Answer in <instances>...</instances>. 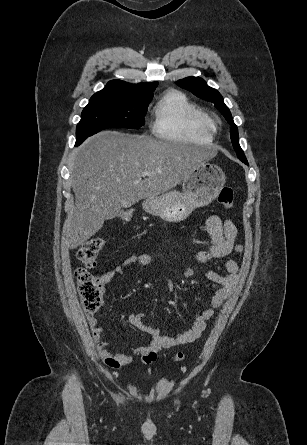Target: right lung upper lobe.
<instances>
[{
  "instance_id": "right-lung-upper-lobe-1",
  "label": "right lung upper lobe",
  "mask_w": 307,
  "mask_h": 445,
  "mask_svg": "<svg viewBox=\"0 0 307 445\" xmlns=\"http://www.w3.org/2000/svg\"><path fill=\"white\" fill-rule=\"evenodd\" d=\"M157 82L130 84L121 80H111L105 88L94 95H113L137 99H152Z\"/></svg>"
}]
</instances>
